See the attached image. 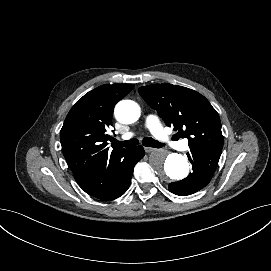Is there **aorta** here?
<instances>
[{
    "mask_svg": "<svg viewBox=\"0 0 271 271\" xmlns=\"http://www.w3.org/2000/svg\"><path fill=\"white\" fill-rule=\"evenodd\" d=\"M115 117L123 124L136 122L140 117V107L132 100L120 101L115 107ZM149 162L156 174L166 180H182L189 174L188 160L181 154L165 151H154Z\"/></svg>",
    "mask_w": 271,
    "mask_h": 271,
    "instance_id": "762f6f07",
    "label": "aorta"
}]
</instances>
